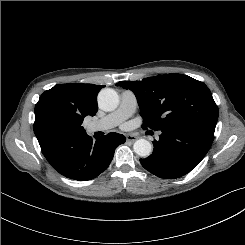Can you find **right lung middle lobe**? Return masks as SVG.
Returning <instances> with one entry per match:
<instances>
[{"label": "right lung middle lobe", "mask_w": 245, "mask_h": 245, "mask_svg": "<svg viewBox=\"0 0 245 245\" xmlns=\"http://www.w3.org/2000/svg\"><path fill=\"white\" fill-rule=\"evenodd\" d=\"M50 121L51 123L56 126V127H60V128H64L67 125V120L65 117H63L62 115H60L57 112H53L50 115Z\"/></svg>", "instance_id": "dd1d6c3e"}]
</instances>
